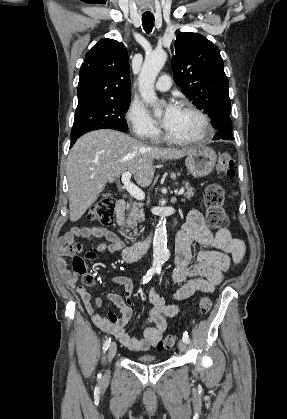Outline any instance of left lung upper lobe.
Instances as JSON below:
<instances>
[{"mask_svg": "<svg viewBox=\"0 0 287 419\" xmlns=\"http://www.w3.org/2000/svg\"><path fill=\"white\" fill-rule=\"evenodd\" d=\"M172 70L182 92L209 115L215 129L221 128L230 117L231 102L218 47L200 34L179 33Z\"/></svg>", "mask_w": 287, "mask_h": 419, "instance_id": "left-lung-upper-lobe-1", "label": "left lung upper lobe"}]
</instances>
